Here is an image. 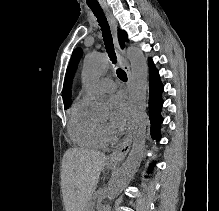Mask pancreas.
Segmentation results:
<instances>
[{
    "label": "pancreas",
    "mask_w": 219,
    "mask_h": 211,
    "mask_svg": "<svg viewBox=\"0 0 219 211\" xmlns=\"http://www.w3.org/2000/svg\"><path fill=\"white\" fill-rule=\"evenodd\" d=\"M97 204H98L97 200H87V208H90V211H94L93 208H96Z\"/></svg>",
    "instance_id": "1"
}]
</instances>
